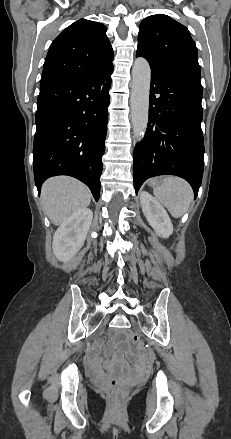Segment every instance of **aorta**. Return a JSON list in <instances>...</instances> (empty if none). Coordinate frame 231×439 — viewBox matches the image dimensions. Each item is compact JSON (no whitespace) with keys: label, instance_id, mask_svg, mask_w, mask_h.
I'll return each mask as SVG.
<instances>
[{"label":"aorta","instance_id":"aorta-1","mask_svg":"<svg viewBox=\"0 0 231 439\" xmlns=\"http://www.w3.org/2000/svg\"><path fill=\"white\" fill-rule=\"evenodd\" d=\"M151 69L145 58L135 59L132 68V91L130 98L134 137L144 136L149 116Z\"/></svg>","mask_w":231,"mask_h":439}]
</instances>
